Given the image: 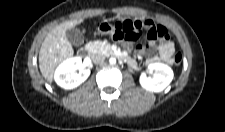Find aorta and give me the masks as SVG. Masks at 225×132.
Listing matches in <instances>:
<instances>
[{
  "mask_svg": "<svg viewBox=\"0 0 225 132\" xmlns=\"http://www.w3.org/2000/svg\"><path fill=\"white\" fill-rule=\"evenodd\" d=\"M109 62H110V64H115V63H116V59H115V58H111V59L109 60Z\"/></svg>",
  "mask_w": 225,
  "mask_h": 132,
  "instance_id": "762f6f07",
  "label": "aorta"
}]
</instances>
